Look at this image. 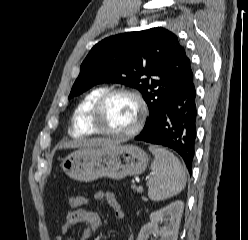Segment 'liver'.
Here are the masks:
<instances>
[{
  "label": "liver",
  "mask_w": 248,
  "mask_h": 240,
  "mask_svg": "<svg viewBox=\"0 0 248 240\" xmlns=\"http://www.w3.org/2000/svg\"><path fill=\"white\" fill-rule=\"evenodd\" d=\"M115 142L107 139H88L84 141H78V142H68L61 146V148H74V147H80L82 149H94L98 147H107L114 145Z\"/></svg>",
  "instance_id": "1"
}]
</instances>
